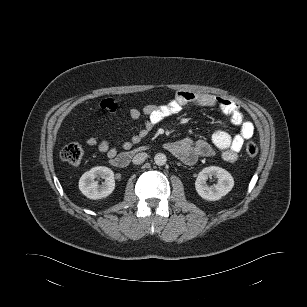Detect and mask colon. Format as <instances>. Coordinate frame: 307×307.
Here are the masks:
<instances>
[{
	"label": "colon",
	"mask_w": 307,
	"mask_h": 307,
	"mask_svg": "<svg viewBox=\"0 0 307 307\" xmlns=\"http://www.w3.org/2000/svg\"><path fill=\"white\" fill-rule=\"evenodd\" d=\"M258 153V147L254 142H249L245 146L247 158H254ZM61 158L69 164H79L83 157V149L77 143H70L64 146L60 152Z\"/></svg>",
	"instance_id": "obj_1"
}]
</instances>
